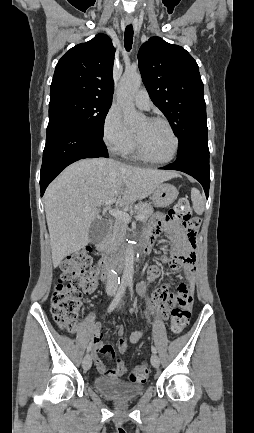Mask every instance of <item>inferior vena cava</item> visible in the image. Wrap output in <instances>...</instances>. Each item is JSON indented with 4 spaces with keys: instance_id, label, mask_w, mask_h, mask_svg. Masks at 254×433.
Listing matches in <instances>:
<instances>
[{
    "instance_id": "1",
    "label": "inferior vena cava",
    "mask_w": 254,
    "mask_h": 433,
    "mask_svg": "<svg viewBox=\"0 0 254 433\" xmlns=\"http://www.w3.org/2000/svg\"><path fill=\"white\" fill-rule=\"evenodd\" d=\"M115 269L114 265L109 266L108 276H107V285L106 288L108 290L117 288V275H115L112 271Z\"/></svg>"
}]
</instances>
